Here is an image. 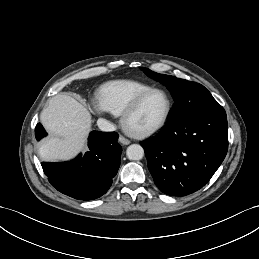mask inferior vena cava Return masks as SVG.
<instances>
[{"instance_id": "1", "label": "inferior vena cava", "mask_w": 259, "mask_h": 259, "mask_svg": "<svg viewBox=\"0 0 259 259\" xmlns=\"http://www.w3.org/2000/svg\"><path fill=\"white\" fill-rule=\"evenodd\" d=\"M97 125L99 129L104 132H112L116 130V127L114 124H112L111 122L103 118H99L97 120Z\"/></svg>"}]
</instances>
